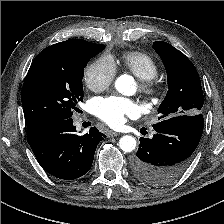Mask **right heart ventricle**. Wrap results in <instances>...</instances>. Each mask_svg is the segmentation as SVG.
I'll return each instance as SVG.
<instances>
[{
    "label": "right heart ventricle",
    "mask_w": 224,
    "mask_h": 224,
    "mask_svg": "<svg viewBox=\"0 0 224 224\" xmlns=\"http://www.w3.org/2000/svg\"><path fill=\"white\" fill-rule=\"evenodd\" d=\"M120 62L123 68L139 80L155 78L159 72V66L155 59L141 51H126L122 53Z\"/></svg>",
    "instance_id": "obj_1"
}]
</instances>
